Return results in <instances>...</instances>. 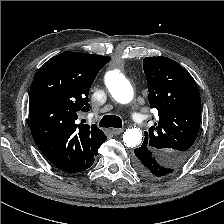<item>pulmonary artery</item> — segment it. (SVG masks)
Returning <instances> with one entry per match:
<instances>
[{
  "label": "pulmonary artery",
  "mask_w": 224,
  "mask_h": 224,
  "mask_svg": "<svg viewBox=\"0 0 224 224\" xmlns=\"http://www.w3.org/2000/svg\"><path fill=\"white\" fill-rule=\"evenodd\" d=\"M131 117L137 123H141L142 122L141 117L136 112H134V111L131 112Z\"/></svg>",
  "instance_id": "pulmonary-artery-1"
}]
</instances>
